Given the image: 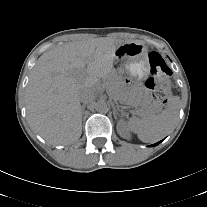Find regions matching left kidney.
<instances>
[{"label":"left kidney","instance_id":"1","mask_svg":"<svg viewBox=\"0 0 207 207\" xmlns=\"http://www.w3.org/2000/svg\"><path fill=\"white\" fill-rule=\"evenodd\" d=\"M117 130H118V133L121 137H123V138H129L130 137V134L128 132V129L126 127L125 122H123V121L119 122L118 125H117Z\"/></svg>","mask_w":207,"mask_h":207}]
</instances>
